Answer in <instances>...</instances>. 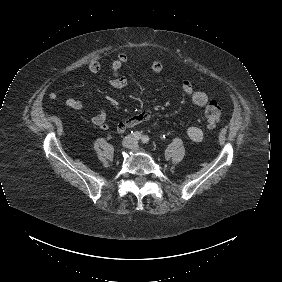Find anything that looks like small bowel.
I'll return each mask as SVG.
<instances>
[{"label":"small bowel","mask_w":282,"mask_h":282,"mask_svg":"<svg viewBox=\"0 0 282 282\" xmlns=\"http://www.w3.org/2000/svg\"><path fill=\"white\" fill-rule=\"evenodd\" d=\"M128 62V55L125 52L119 53L116 59H114L109 68L112 71L114 78L109 82V85L115 88H121L127 85L128 80L125 76L120 74L122 67ZM91 73H97L101 69V64L98 60H92L87 67ZM150 69L154 73H160L163 70V64L159 60H153L150 63ZM181 88L184 94L197 106L203 107L208 102V95L204 92L194 89L193 84L189 80H183L181 82ZM60 95V91L55 89L50 92L49 97L56 99ZM65 105L70 109L81 111L84 109V103L80 99L66 98ZM89 121L102 130L114 129L117 133H123L127 129L134 126L150 122L154 127L162 126V121L153 118L150 110H143L136 113L125 120L119 122H109L107 120V112L104 108H100L96 114L89 117ZM186 134L193 142H201L204 138V133L201 128L197 126H189L186 129Z\"/></svg>","instance_id":"1"}]
</instances>
